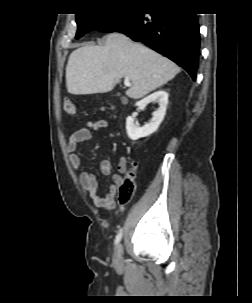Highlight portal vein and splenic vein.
<instances>
[{
    "instance_id": "portal-vein-and-splenic-vein-1",
    "label": "portal vein and splenic vein",
    "mask_w": 252,
    "mask_h": 303,
    "mask_svg": "<svg viewBox=\"0 0 252 303\" xmlns=\"http://www.w3.org/2000/svg\"><path fill=\"white\" fill-rule=\"evenodd\" d=\"M124 85L125 86H131V83H130V80H129V78H125V80H124Z\"/></svg>"
}]
</instances>
